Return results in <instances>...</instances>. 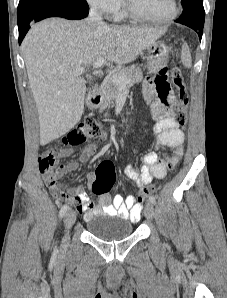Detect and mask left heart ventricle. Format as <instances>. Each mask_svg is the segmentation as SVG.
Wrapping results in <instances>:
<instances>
[{"instance_id": "obj_1", "label": "left heart ventricle", "mask_w": 227, "mask_h": 298, "mask_svg": "<svg viewBox=\"0 0 227 298\" xmlns=\"http://www.w3.org/2000/svg\"><path fill=\"white\" fill-rule=\"evenodd\" d=\"M140 14L151 18H163L172 11L171 0H128Z\"/></svg>"}]
</instances>
